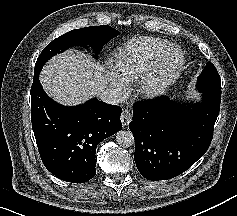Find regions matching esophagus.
Returning a JSON list of instances; mask_svg holds the SVG:
<instances>
[{"mask_svg":"<svg viewBox=\"0 0 237 216\" xmlns=\"http://www.w3.org/2000/svg\"><path fill=\"white\" fill-rule=\"evenodd\" d=\"M132 120V115L128 109H124L121 115V122L124 127H126Z\"/></svg>","mask_w":237,"mask_h":216,"instance_id":"1","label":"esophagus"}]
</instances>
